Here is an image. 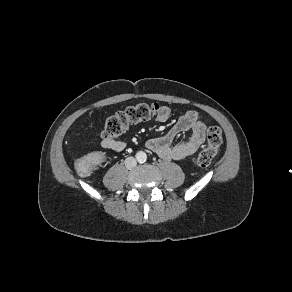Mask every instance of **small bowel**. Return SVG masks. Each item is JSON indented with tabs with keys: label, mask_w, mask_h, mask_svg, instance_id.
Returning <instances> with one entry per match:
<instances>
[{
	"label": "small bowel",
	"mask_w": 292,
	"mask_h": 292,
	"mask_svg": "<svg viewBox=\"0 0 292 292\" xmlns=\"http://www.w3.org/2000/svg\"><path fill=\"white\" fill-rule=\"evenodd\" d=\"M170 116V109L166 106L159 107L156 115L158 122H165ZM207 125L205 120L196 111H187L183 114L171 130L162 137L153 138L147 142V147L165 160H180L194 152L205 141ZM191 130L188 139L174 143L175 138ZM101 146L113 152H122L126 148L123 141L116 139H102Z\"/></svg>",
	"instance_id": "1"
}]
</instances>
